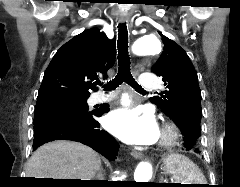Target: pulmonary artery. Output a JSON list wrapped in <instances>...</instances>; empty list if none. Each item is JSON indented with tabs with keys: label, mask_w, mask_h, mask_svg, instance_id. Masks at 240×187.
<instances>
[{
	"label": "pulmonary artery",
	"mask_w": 240,
	"mask_h": 187,
	"mask_svg": "<svg viewBox=\"0 0 240 187\" xmlns=\"http://www.w3.org/2000/svg\"><path fill=\"white\" fill-rule=\"evenodd\" d=\"M139 83L146 91H152L157 88V81L154 75L148 74V75H142L139 77ZM112 98V96H104L102 94H95L93 96V103H101L105 101H109Z\"/></svg>",
	"instance_id": "e3ab8cb5"
}]
</instances>
